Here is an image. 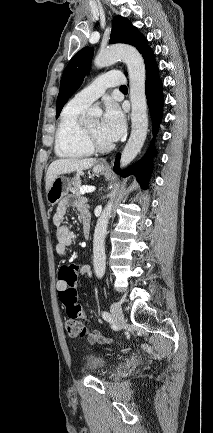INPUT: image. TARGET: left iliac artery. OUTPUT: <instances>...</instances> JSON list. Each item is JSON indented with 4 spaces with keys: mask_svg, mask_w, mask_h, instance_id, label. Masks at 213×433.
<instances>
[{
    "mask_svg": "<svg viewBox=\"0 0 213 433\" xmlns=\"http://www.w3.org/2000/svg\"><path fill=\"white\" fill-rule=\"evenodd\" d=\"M102 317L105 320H109L110 319V314L107 311H103L102 312Z\"/></svg>",
    "mask_w": 213,
    "mask_h": 433,
    "instance_id": "44dca946",
    "label": "left iliac artery"
}]
</instances>
